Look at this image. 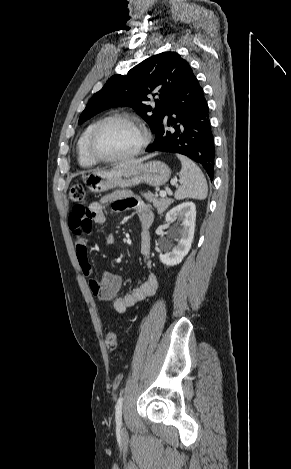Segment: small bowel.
Returning <instances> with one entry per match:
<instances>
[{
  "instance_id": "c3829d8e",
  "label": "small bowel",
  "mask_w": 291,
  "mask_h": 469,
  "mask_svg": "<svg viewBox=\"0 0 291 469\" xmlns=\"http://www.w3.org/2000/svg\"><path fill=\"white\" fill-rule=\"evenodd\" d=\"M110 203L115 210L133 209L136 211L141 227L140 253L145 258L146 265L149 266L148 257L151 245L149 228L153 222V213L145 203L128 191H115L99 201L92 202L84 212L78 211L75 207L69 215V228L75 236L77 260L82 273L88 280L90 291L102 301H112L114 311L122 314L139 301L153 296L158 289V279L154 274L149 273L131 292L119 296L122 286L121 276L108 271L103 273L101 279L93 276L89 261V241L84 235L92 231L94 224L106 223L105 207ZM104 243L114 244V234L108 233Z\"/></svg>"
}]
</instances>
